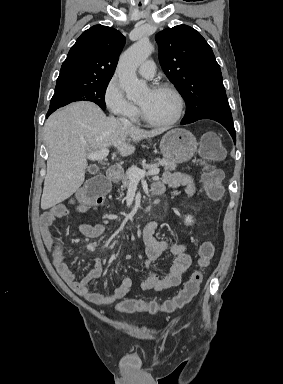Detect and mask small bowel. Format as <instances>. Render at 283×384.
<instances>
[{
  "label": "small bowel",
  "instance_id": "1",
  "mask_svg": "<svg viewBox=\"0 0 283 384\" xmlns=\"http://www.w3.org/2000/svg\"><path fill=\"white\" fill-rule=\"evenodd\" d=\"M178 188L184 187L188 195L195 192V184L192 178L183 173H165L162 178L154 184L159 191L165 190V187ZM67 208L63 204L52 206L44 213L40 220V226L44 243L51 253L52 261L60 277L69 285V287L83 297L88 302L97 305H109L117 303L124 298L132 288V280L128 277L121 279L119 285L108 294H102L91 290L88 285L97 279L103 271V260L96 259L93 268L87 272L80 280H77L74 273L65 261L63 246L61 242L53 237L51 226L55 219L66 216ZM158 228L156 221L147 223L143 229V241L146 245V257L143 263L148 270V277L140 285L142 291L153 290L156 292L164 291L181 284L183 276L191 265V257L187 253V246L184 243H169L168 241L157 239L155 232ZM82 235L88 238H98L105 232V226L98 224H83L79 227ZM166 252L173 255L170 270L167 275L160 277L153 267V263L160 260Z\"/></svg>",
  "mask_w": 283,
  "mask_h": 384
}]
</instances>
